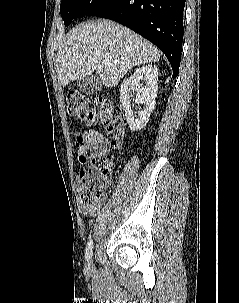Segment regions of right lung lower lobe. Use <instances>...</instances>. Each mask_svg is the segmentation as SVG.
<instances>
[{
	"mask_svg": "<svg viewBox=\"0 0 239 303\" xmlns=\"http://www.w3.org/2000/svg\"><path fill=\"white\" fill-rule=\"evenodd\" d=\"M185 0H106L89 16L119 22L145 37L168 58L173 77L178 76Z\"/></svg>",
	"mask_w": 239,
	"mask_h": 303,
	"instance_id": "obj_1",
	"label": "right lung lower lobe"
}]
</instances>
